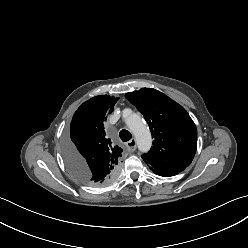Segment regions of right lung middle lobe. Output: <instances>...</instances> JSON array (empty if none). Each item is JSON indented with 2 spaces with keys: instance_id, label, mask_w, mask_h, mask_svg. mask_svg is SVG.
Masks as SVG:
<instances>
[{
  "instance_id": "1",
  "label": "right lung middle lobe",
  "mask_w": 248,
  "mask_h": 248,
  "mask_svg": "<svg viewBox=\"0 0 248 248\" xmlns=\"http://www.w3.org/2000/svg\"><path fill=\"white\" fill-rule=\"evenodd\" d=\"M63 152H64V158H65V161L67 162V160H68V154H69V152H70V147H69V142H66L65 144H64V148H63ZM72 172V171H71ZM73 173V172H72ZM79 180H80V176L78 175V174H75V173H73Z\"/></svg>"
}]
</instances>
